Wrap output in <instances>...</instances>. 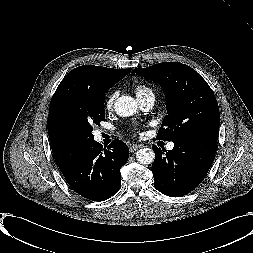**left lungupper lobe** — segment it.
Here are the masks:
<instances>
[{
	"label": "left lung upper lobe",
	"mask_w": 253,
	"mask_h": 253,
	"mask_svg": "<svg viewBox=\"0 0 253 253\" xmlns=\"http://www.w3.org/2000/svg\"><path fill=\"white\" fill-rule=\"evenodd\" d=\"M135 71L164 89L168 115L159 129L158 139L172 142L218 139L220 113L215 95L194 69L182 63L164 62Z\"/></svg>",
	"instance_id": "left-lung-upper-lobe-1"
}]
</instances>
